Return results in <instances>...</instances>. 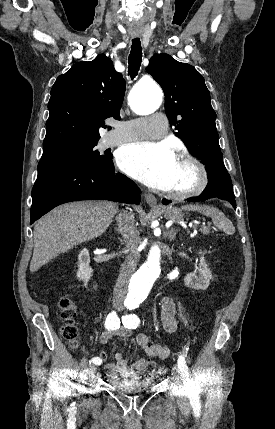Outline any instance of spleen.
I'll use <instances>...</instances> for the list:
<instances>
[{
	"label": "spleen",
	"instance_id": "3e777b00",
	"mask_svg": "<svg viewBox=\"0 0 275 429\" xmlns=\"http://www.w3.org/2000/svg\"><path fill=\"white\" fill-rule=\"evenodd\" d=\"M183 210L197 211L205 216L211 217L215 226L226 234L232 235L235 233V227L232 222L221 212L213 206L207 205H186L182 207Z\"/></svg>",
	"mask_w": 275,
	"mask_h": 429
}]
</instances>
